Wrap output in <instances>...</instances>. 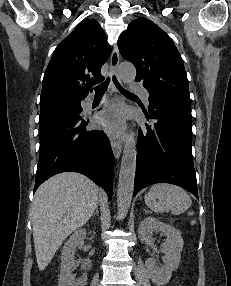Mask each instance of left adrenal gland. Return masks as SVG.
<instances>
[{"label":"left adrenal gland","instance_id":"left-adrenal-gland-1","mask_svg":"<svg viewBox=\"0 0 231 286\" xmlns=\"http://www.w3.org/2000/svg\"><path fill=\"white\" fill-rule=\"evenodd\" d=\"M145 211V213H147L148 211L146 209H143Z\"/></svg>","mask_w":231,"mask_h":286}]
</instances>
